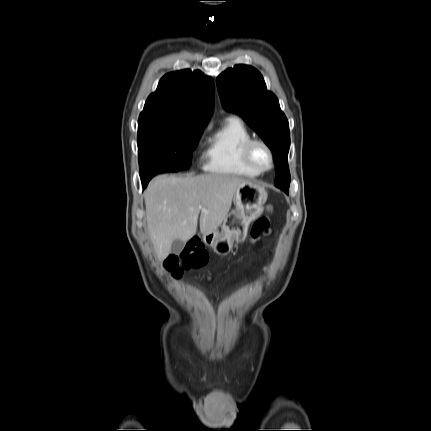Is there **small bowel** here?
Instances as JSON below:
<instances>
[{"label": "small bowel", "instance_id": "c3829d8e", "mask_svg": "<svg viewBox=\"0 0 431 431\" xmlns=\"http://www.w3.org/2000/svg\"><path fill=\"white\" fill-rule=\"evenodd\" d=\"M258 239H255V241H253V242H256Z\"/></svg>", "mask_w": 431, "mask_h": 431}]
</instances>
